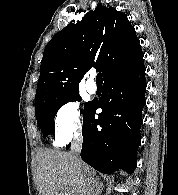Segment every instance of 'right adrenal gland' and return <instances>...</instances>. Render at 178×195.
<instances>
[{"mask_svg": "<svg viewBox=\"0 0 178 195\" xmlns=\"http://www.w3.org/2000/svg\"><path fill=\"white\" fill-rule=\"evenodd\" d=\"M96 185H97V188H98V193L100 194L103 190V185L99 181L96 182Z\"/></svg>", "mask_w": 178, "mask_h": 195, "instance_id": "obj_1", "label": "right adrenal gland"}]
</instances>
